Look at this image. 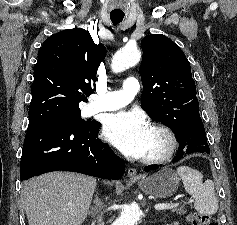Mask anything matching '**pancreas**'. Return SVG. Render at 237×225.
I'll return each mask as SVG.
<instances>
[{
  "label": "pancreas",
  "mask_w": 237,
  "mask_h": 225,
  "mask_svg": "<svg viewBox=\"0 0 237 225\" xmlns=\"http://www.w3.org/2000/svg\"><path fill=\"white\" fill-rule=\"evenodd\" d=\"M172 212H175L177 214H184L185 213L183 207H179V208L173 209Z\"/></svg>",
  "instance_id": "obj_1"
}]
</instances>
